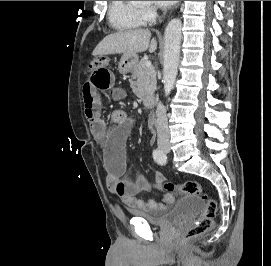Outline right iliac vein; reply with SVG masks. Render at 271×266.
Returning a JSON list of instances; mask_svg holds the SVG:
<instances>
[{
    "mask_svg": "<svg viewBox=\"0 0 271 266\" xmlns=\"http://www.w3.org/2000/svg\"><path fill=\"white\" fill-rule=\"evenodd\" d=\"M160 149L163 150V151H166L169 149V144L168 143H161L159 145Z\"/></svg>",
    "mask_w": 271,
    "mask_h": 266,
    "instance_id": "63e3f726",
    "label": "right iliac vein"
}]
</instances>
